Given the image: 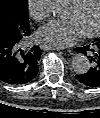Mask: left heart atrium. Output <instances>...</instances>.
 I'll return each mask as SVG.
<instances>
[{
  "instance_id": "obj_1",
  "label": "left heart atrium",
  "mask_w": 100,
  "mask_h": 118,
  "mask_svg": "<svg viewBox=\"0 0 100 118\" xmlns=\"http://www.w3.org/2000/svg\"><path fill=\"white\" fill-rule=\"evenodd\" d=\"M83 32L74 19H55L38 31V37L53 46H68L76 43Z\"/></svg>"
}]
</instances>
